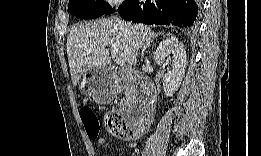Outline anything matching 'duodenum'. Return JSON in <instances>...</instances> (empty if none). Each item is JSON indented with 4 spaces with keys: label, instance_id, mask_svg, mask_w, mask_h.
<instances>
[{
    "label": "duodenum",
    "instance_id": "410a0bca",
    "mask_svg": "<svg viewBox=\"0 0 261 156\" xmlns=\"http://www.w3.org/2000/svg\"><path fill=\"white\" fill-rule=\"evenodd\" d=\"M114 76L120 82L127 81L129 75L126 70L114 68ZM155 91L153 85L146 79L138 82V90L129 98V115L133 124H140L151 120L154 113Z\"/></svg>",
    "mask_w": 261,
    "mask_h": 156
}]
</instances>
